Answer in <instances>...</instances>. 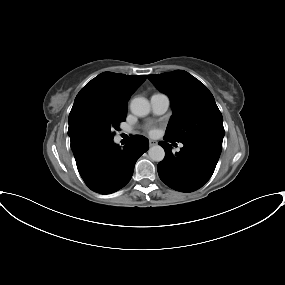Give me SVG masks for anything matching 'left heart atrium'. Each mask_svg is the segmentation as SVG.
I'll return each instance as SVG.
<instances>
[{
    "label": "left heart atrium",
    "mask_w": 285,
    "mask_h": 285,
    "mask_svg": "<svg viewBox=\"0 0 285 285\" xmlns=\"http://www.w3.org/2000/svg\"><path fill=\"white\" fill-rule=\"evenodd\" d=\"M146 129L148 130V132L150 134H154L155 133V128L153 126H148Z\"/></svg>",
    "instance_id": "39dd6f15"
}]
</instances>
